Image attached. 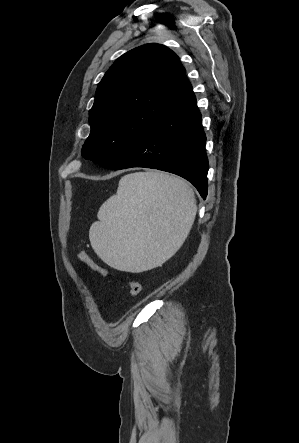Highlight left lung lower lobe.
<instances>
[{
    "instance_id": "left-lung-lower-lobe-1",
    "label": "left lung lower lobe",
    "mask_w": 299,
    "mask_h": 443,
    "mask_svg": "<svg viewBox=\"0 0 299 443\" xmlns=\"http://www.w3.org/2000/svg\"><path fill=\"white\" fill-rule=\"evenodd\" d=\"M205 142L189 84L111 169L146 167L174 173L190 181L205 199L209 169Z\"/></svg>"
}]
</instances>
